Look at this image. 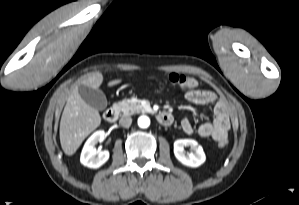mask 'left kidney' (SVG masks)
I'll use <instances>...</instances> for the list:
<instances>
[{
    "mask_svg": "<svg viewBox=\"0 0 299 205\" xmlns=\"http://www.w3.org/2000/svg\"><path fill=\"white\" fill-rule=\"evenodd\" d=\"M190 146L194 153L185 154L184 147ZM174 155L179 162L188 167H198L206 160L203 148L193 139H178L174 142Z\"/></svg>",
    "mask_w": 299,
    "mask_h": 205,
    "instance_id": "5707ae66",
    "label": "left kidney"
}]
</instances>
